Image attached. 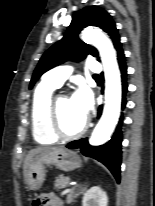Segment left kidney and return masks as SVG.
<instances>
[{"mask_svg":"<svg viewBox=\"0 0 155 206\" xmlns=\"http://www.w3.org/2000/svg\"><path fill=\"white\" fill-rule=\"evenodd\" d=\"M108 197L99 186L88 189L83 196L82 206H107Z\"/></svg>","mask_w":155,"mask_h":206,"instance_id":"obj_1","label":"left kidney"}]
</instances>
